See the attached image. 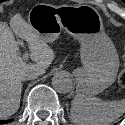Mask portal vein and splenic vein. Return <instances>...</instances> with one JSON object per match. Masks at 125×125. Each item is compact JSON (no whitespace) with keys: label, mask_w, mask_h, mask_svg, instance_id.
<instances>
[{"label":"portal vein and splenic vein","mask_w":125,"mask_h":125,"mask_svg":"<svg viewBox=\"0 0 125 125\" xmlns=\"http://www.w3.org/2000/svg\"><path fill=\"white\" fill-rule=\"evenodd\" d=\"M28 57H29V54H28V52H26L21 58H22V60H27Z\"/></svg>","instance_id":"obj_1"}]
</instances>
